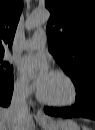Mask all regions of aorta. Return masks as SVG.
<instances>
[{
    "instance_id": "1",
    "label": "aorta",
    "mask_w": 95,
    "mask_h": 130,
    "mask_svg": "<svg viewBox=\"0 0 95 130\" xmlns=\"http://www.w3.org/2000/svg\"><path fill=\"white\" fill-rule=\"evenodd\" d=\"M50 13L47 9L35 10L26 21V28L31 30L39 25L47 23Z\"/></svg>"
}]
</instances>
